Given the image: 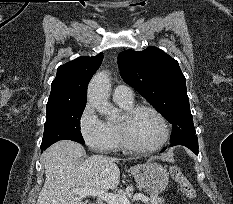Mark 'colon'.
I'll return each instance as SVG.
<instances>
[{
	"label": "colon",
	"mask_w": 233,
	"mask_h": 204,
	"mask_svg": "<svg viewBox=\"0 0 233 204\" xmlns=\"http://www.w3.org/2000/svg\"><path fill=\"white\" fill-rule=\"evenodd\" d=\"M171 177L178 183L181 192L189 199L196 198V191L181 169L173 165L170 168Z\"/></svg>",
	"instance_id": "1"
}]
</instances>
